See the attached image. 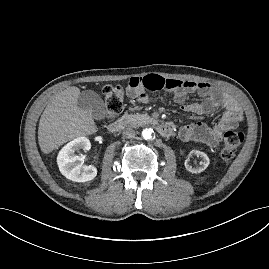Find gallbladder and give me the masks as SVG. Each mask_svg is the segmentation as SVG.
<instances>
[{
	"mask_svg": "<svg viewBox=\"0 0 269 269\" xmlns=\"http://www.w3.org/2000/svg\"><path fill=\"white\" fill-rule=\"evenodd\" d=\"M77 106L79 109L89 112L95 120H102L106 116L102 98L92 90H85L80 93Z\"/></svg>",
	"mask_w": 269,
	"mask_h": 269,
	"instance_id": "bac80fb5",
	"label": "gallbladder"
}]
</instances>
